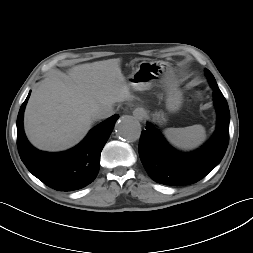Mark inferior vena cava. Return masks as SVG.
<instances>
[{
	"mask_svg": "<svg viewBox=\"0 0 253 253\" xmlns=\"http://www.w3.org/2000/svg\"><path fill=\"white\" fill-rule=\"evenodd\" d=\"M114 114V109L112 106H105L97 109L93 116L97 119H106Z\"/></svg>",
	"mask_w": 253,
	"mask_h": 253,
	"instance_id": "inferior-vena-cava-1",
	"label": "inferior vena cava"
}]
</instances>
